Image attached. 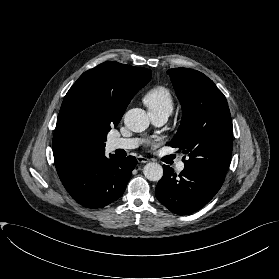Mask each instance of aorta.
<instances>
[{"instance_id":"aorta-1","label":"aorta","mask_w":279,"mask_h":279,"mask_svg":"<svg viewBox=\"0 0 279 279\" xmlns=\"http://www.w3.org/2000/svg\"><path fill=\"white\" fill-rule=\"evenodd\" d=\"M124 123L133 132H143L149 126V118L143 109L133 108L126 112ZM143 173L148 180L159 181L163 176V168L158 163L149 162L144 166Z\"/></svg>"}]
</instances>
